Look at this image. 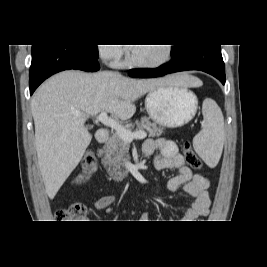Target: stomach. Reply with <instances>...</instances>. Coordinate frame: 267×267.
<instances>
[{
  "label": "stomach",
  "mask_w": 267,
  "mask_h": 267,
  "mask_svg": "<svg viewBox=\"0 0 267 267\" xmlns=\"http://www.w3.org/2000/svg\"><path fill=\"white\" fill-rule=\"evenodd\" d=\"M145 106L157 124L176 128L193 119L197 112V96L187 87L168 85L148 92Z\"/></svg>",
  "instance_id": "stomach-1"
}]
</instances>
